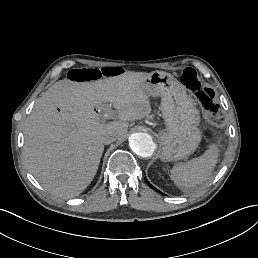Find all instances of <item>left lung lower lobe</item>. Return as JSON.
I'll list each match as a JSON object with an SVG mask.
<instances>
[{
  "label": "left lung lower lobe",
  "mask_w": 258,
  "mask_h": 258,
  "mask_svg": "<svg viewBox=\"0 0 258 258\" xmlns=\"http://www.w3.org/2000/svg\"><path fill=\"white\" fill-rule=\"evenodd\" d=\"M145 180H146L147 184H148L152 189H154L155 191H157V192H159L160 194H162L159 190H157L155 187H153V186L147 181V179H145Z\"/></svg>",
  "instance_id": "left-lung-lower-lobe-1"
}]
</instances>
